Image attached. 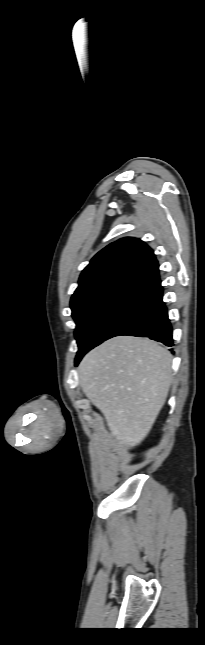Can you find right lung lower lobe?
<instances>
[{"label":"right lung lower lobe","mask_w":205,"mask_h":645,"mask_svg":"<svg viewBox=\"0 0 205 645\" xmlns=\"http://www.w3.org/2000/svg\"><path fill=\"white\" fill-rule=\"evenodd\" d=\"M162 296L163 288L160 282L149 290V296L143 305L114 328L104 341L119 335H129L149 337L167 346H173L172 327ZM81 358L76 361V365Z\"/></svg>","instance_id":"98d812e1"}]
</instances>
